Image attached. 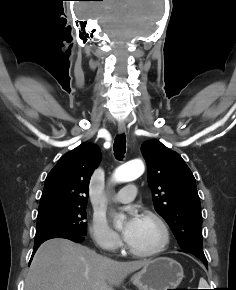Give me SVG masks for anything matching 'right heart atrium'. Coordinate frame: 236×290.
<instances>
[{"instance_id":"right-heart-atrium-1","label":"right heart atrium","mask_w":236,"mask_h":290,"mask_svg":"<svg viewBox=\"0 0 236 290\" xmlns=\"http://www.w3.org/2000/svg\"><path fill=\"white\" fill-rule=\"evenodd\" d=\"M90 234L95 244L107 251H114L120 246L118 235L108 226L107 222L95 217L90 225Z\"/></svg>"}]
</instances>
